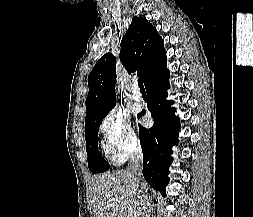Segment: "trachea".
Segmentation results:
<instances>
[{
	"label": "trachea",
	"mask_w": 253,
	"mask_h": 217,
	"mask_svg": "<svg viewBox=\"0 0 253 217\" xmlns=\"http://www.w3.org/2000/svg\"><path fill=\"white\" fill-rule=\"evenodd\" d=\"M138 86H139V88H140L141 91H142V90H145L144 85H143V82H142L141 79H138Z\"/></svg>",
	"instance_id": "1"
}]
</instances>
